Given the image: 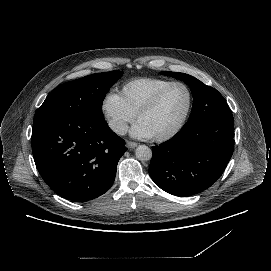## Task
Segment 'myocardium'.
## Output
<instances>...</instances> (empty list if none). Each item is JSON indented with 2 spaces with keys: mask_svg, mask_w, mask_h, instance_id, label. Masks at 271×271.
<instances>
[{
  "mask_svg": "<svg viewBox=\"0 0 271 271\" xmlns=\"http://www.w3.org/2000/svg\"><path fill=\"white\" fill-rule=\"evenodd\" d=\"M176 85H183L189 92V105L187 111L182 120L180 121V123L173 130L161 136L151 137L152 140L155 142L158 143L167 142L175 138L183 130L191 116L195 104V94L192 87L184 81L170 82L168 85L163 87L159 92H157L156 95L152 98V100L137 115V120L140 121L143 117L153 112L157 108L165 94Z\"/></svg>",
  "mask_w": 271,
  "mask_h": 271,
  "instance_id": "f54148a6",
  "label": "myocardium"
}]
</instances>
